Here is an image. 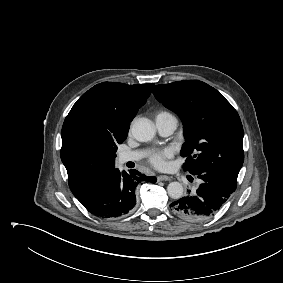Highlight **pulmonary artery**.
<instances>
[{"label":"pulmonary artery","mask_w":283,"mask_h":283,"mask_svg":"<svg viewBox=\"0 0 283 283\" xmlns=\"http://www.w3.org/2000/svg\"><path fill=\"white\" fill-rule=\"evenodd\" d=\"M155 124L158 132L162 136H169L173 133V131L176 128L177 120L173 116H161L155 119ZM143 156H144V152L140 150L123 152L118 156V163L120 165H123L127 162L138 161Z\"/></svg>","instance_id":"e3ab8cb5"}]
</instances>
